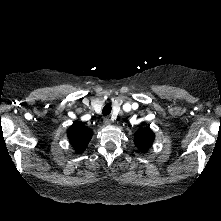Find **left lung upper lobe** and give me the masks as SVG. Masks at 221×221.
Segmentation results:
<instances>
[{
    "label": "left lung upper lobe",
    "mask_w": 221,
    "mask_h": 221,
    "mask_svg": "<svg viewBox=\"0 0 221 221\" xmlns=\"http://www.w3.org/2000/svg\"><path fill=\"white\" fill-rule=\"evenodd\" d=\"M155 135L150 128L139 129L135 133L134 143L141 152H146L153 144Z\"/></svg>",
    "instance_id": "1"
}]
</instances>
